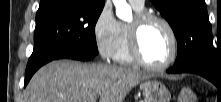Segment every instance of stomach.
I'll list each match as a JSON object with an SVG mask.
<instances>
[{
  "label": "stomach",
  "instance_id": "stomach-1",
  "mask_svg": "<svg viewBox=\"0 0 221 102\" xmlns=\"http://www.w3.org/2000/svg\"><path fill=\"white\" fill-rule=\"evenodd\" d=\"M144 102H170L171 94L164 84L147 80L141 85Z\"/></svg>",
  "mask_w": 221,
  "mask_h": 102
}]
</instances>
